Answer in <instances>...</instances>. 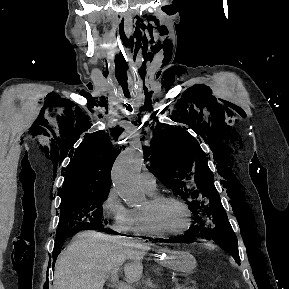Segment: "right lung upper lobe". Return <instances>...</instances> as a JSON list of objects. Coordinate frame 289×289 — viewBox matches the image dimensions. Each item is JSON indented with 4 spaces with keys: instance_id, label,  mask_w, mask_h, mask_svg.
Returning <instances> with one entry per match:
<instances>
[{
    "instance_id": "cb5924a9",
    "label": "right lung upper lobe",
    "mask_w": 289,
    "mask_h": 289,
    "mask_svg": "<svg viewBox=\"0 0 289 289\" xmlns=\"http://www.w3.org/2000/svg\"><path fill=\"white\" fill-rule=\"evenodd\" d=\"M118 151H112L111 143L103 131L93 133L79 145L65 175L62 198L76 194L109 191L110 169Z\"/></svg>"
}]
</instances>
